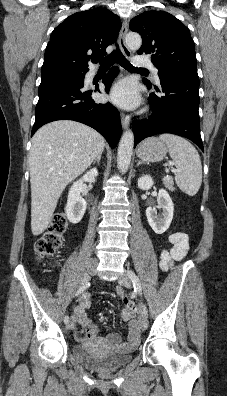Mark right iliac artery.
<instances>
[{
	"label": "right iliac artery",
	"mask_w": 227,
	"mask_h": 396,
	"mask_svg": "<svg viewBox=\"0 0 227 396\" xmlns=\"http://www.w3.org/2000/svg\"><path fill=\"white\" fill-rule=\"evenodd\" d=\"M89 286H90V283H89V282L86 283V284H83V285L77 290L75 296H78V295H80L81 293H83ZM68 322H69V317H68V315H66V316L64 317V323L67 324Z\"/></svg>",
	"instance_id": "82829eb1"
}]
</instances>
